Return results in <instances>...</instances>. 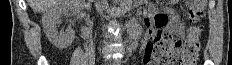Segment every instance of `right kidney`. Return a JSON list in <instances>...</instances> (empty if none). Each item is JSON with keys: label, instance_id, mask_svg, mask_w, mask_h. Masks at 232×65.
Returning <instances> with one entry per match:
<instances>
[{"label": "right kidney", "instance_id": "1", "mask_svg": "<svg viewBox=\"0 0 232 65\" xmlns=\"http://www.w3.org/2000/svg\"><path fill=\"white\" fill-rule=\"evenodd\" d=\"M75 7L74 0H60L43 14L42 26L49 41L57 48H66L74 41L75 32L72 29L64 32L57 31L60 15Z\"/></svg>", "mask_w": 232, "mask_h": 65}]
</instances>
